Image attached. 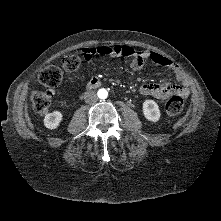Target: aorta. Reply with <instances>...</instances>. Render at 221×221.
<instances>
[{"label":"aorta","instance_id":"aorta-1","mask_svg":"<svg viewBox=\"0 0 221 221\" xmlns=\"http://www.w3.org/2000/svg\"><path fill=\"white\" fill-rule=\"evenodd\" d=\"M97 94H98V97H99L100 99H106L107 96H108V92H107V90L104 89V88L99 89Z\"/></svg>","mask_w":221,"mask_h":221}]
</instances>
